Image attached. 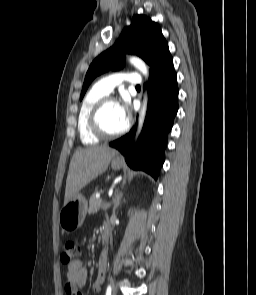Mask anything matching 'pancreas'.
<instances>
[{"instance_id": "obj_1", "label": "pancreas", "mask_w": 256, "mask_h": 295, "mask_svg": "<svg viewBox=\"0 0 256 295\" xmlns=\"http://www.w3.org/2000/svg\"><path fill=\"white\" fill-rule=\"evenodd\" d=\"M100 192L102 193L103 191H100ZM106 206L107 205L104 201L96 198L95 194H93L90 197L88 213L94 214V213L98 212L100 209H106L105 208Z\"/></svg>"}]
</instances>
